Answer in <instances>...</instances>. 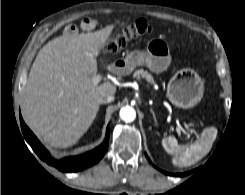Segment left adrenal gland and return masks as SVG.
<instances>
[{
	"instance_id": "obj_1",
	"label": "left adrenal gland",
	"mask_w": 245,
	"mask_h": 195,
	"mask_svg": "<svg viewBox=\"0 0 245 195\" xmlns=\"http://www.w3.org/2000/svg\"><path fill=\"white\" fill-rule=\"evenodd\" d=\"M150 112H151V113H152V115H153V119H154V123H155V125H158V122H157V119H156L155 112L153 111V109H152V108H150Z\"/></svg>"
}]
</instances>
